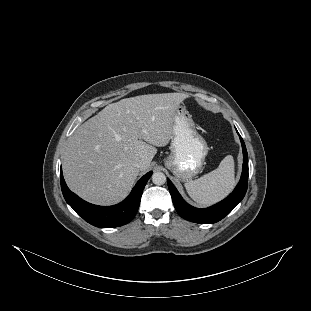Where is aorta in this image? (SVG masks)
Here are the masks:
<instances>
[{"mask_svg":"<svg viewBox=\"0 0 311 311\" xmlns=\"http://www.w3.org/2000/svg\"><path fill=\"white\" fill-rule=\"evenodd\" d=\"M166 175L163 172H154L152 174V182L155 185L161 186L166 183Z\"/></svg>","mask_w":311,"mask_h":311,"instance_id":"1","label":"aorta"}]
</instances>
